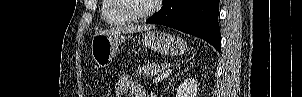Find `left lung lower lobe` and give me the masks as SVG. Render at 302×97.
<instances>
[{
    "instance_id": "obj_1",
    "label": "left lung lower lobe",
    "mask_w": 302,
    "mask_h": 97,
    "mask_svg": "<svg viewBox=\"0 0 302 97\" xmlns=\"http://www.w3.org/2000/svg\"><path fill=\"white\" fill-rule=\"evenodd\" d=\"M219 0H165L160 11L146 20L197 36L221 51Z\"/></svg>"
}]
</instances>
